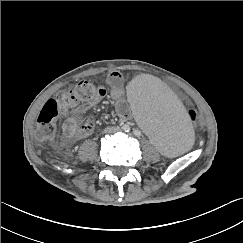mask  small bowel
I'll return each mask as SVG.
<instances>
[{
    "mask_svg": "<svg viewBox=\"0 0 243 243\" xmlns=\"http://www.w3.org/2000/svg\"><path fill=\"white\" fill-rule=\"evenodd\" d=\"M108 83L111 87L109 95L114 101L115 108L119 117L126 121L130 118V108L128 107L125 95L123 93V78L117 71H112L108 76ZM98 97L103 98L107 94V89L104 86H99L96 89ZM97 102V99L89 102L80 109L71 113L63 124V138L68 143L88 137L94 130V122L91 119L84 120V112L92 107Z\"/></svg>",
    "mask_w": 243,
    "mask_h": 243,
    "instance_id": "obj_1",
    "label": "small bowel"
}]
</instances>
